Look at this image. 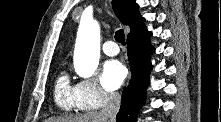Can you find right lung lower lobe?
Masks as SVG:
<instances>
[{
  "instance_id": "right-lung-lower-lobe-1",
  "label": "right lung lower lobe",
  "mask_w": 221,
  "mask_h": 122,
  "mask_svg": "<svg viewBox=\"0 0 221 122\" xmlns=\"http://www.w3.org/2000/svg\"><path fill=\"white\" fill-rule=\"evenodd\" d=\"M151 32L144 27L128 36L127 54L132 71V79L122 93V104L116 116L117 122H136L139 108L144 104L149 73L152 68L150 55L154 48L150 44Z\"/></svg>"
}]
</instances>
